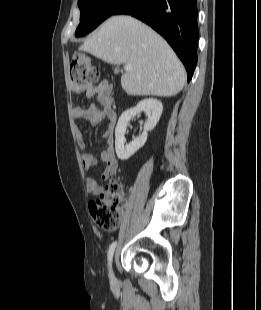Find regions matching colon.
<instances>
[{
	"label": "colon",
	"instance_id": "colon-1",
	"mask_svg": "<svg viewBox=\"0 0 261 310\" xmlns=\"http://www.w3.org/2000/svg\"><path fill=\"white\" fill-rule=\"evenodd\" d=\"M99 78V70L87 53H76L70 63V79L76 86L91 85ZM125 195L122 186L111 180L105 190L89 203L90 214L96 225L104 230H115L123 214Z\"/></svg>",
	"mask_w": 261,
	"mask_h": 310
}]
</instances>
